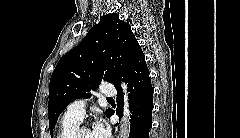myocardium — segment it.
Masks as SVG:
<instances>
[{
	"label": "myocardium",
	"mask_w": 240,
	"mask_h": 138,
	"mask_svg": "<svg viewBox=\"0 0 240 138\" xmlns=\"http://www.w3.org/2000/svg\"><path fill=\"white\" fill-rule=\"evenodd\" d=\"M89 129L87 126L80 125L75 132L72 134L71 138H81V134L83 131Z\"/></svg>",
	"instance_id": "f54148a6"
}]
</instances>
